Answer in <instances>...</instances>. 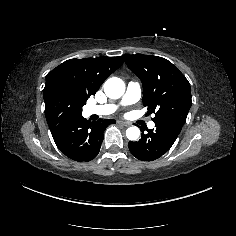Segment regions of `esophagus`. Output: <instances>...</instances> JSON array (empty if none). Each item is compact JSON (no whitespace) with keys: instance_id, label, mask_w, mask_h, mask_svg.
Instances as JSON below:
<instances>
[{"instance_id":"34e87169","label":"esophagus","mask_w":236,"mask_h":236,"mask_svg":"<svg viewBox=\"0 0 236 236\" xmlns=\"http://www.w3.org/2000/svg\"><path fill=\"white\" fill-rule=\"evenodd\" d=\"M118 124L124 125V126H130L131 122H126V121H117Z\"/></svg>"}]
</instances>
